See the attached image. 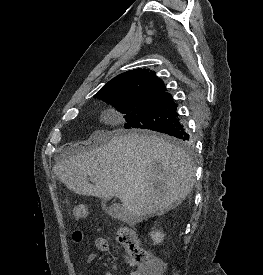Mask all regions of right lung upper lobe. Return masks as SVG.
<instances>
[{"label": "right lung upper lobe", "instance_id": "right-lung-upper-lobe-1", "mask_svg": "<svg viewBox=\"0 0 263 275\" xmlns=\"http://www.w3.org/2000/svg\"><path fill=\"white\" fill-rule=\"evenodd\" d=\"M166 90L164 82L153 71L140 68L116 76L96 95L122 91L133 96H171Z\"/></svg>", "mask_w": 263, "mask_h": 275}]
</instances>
